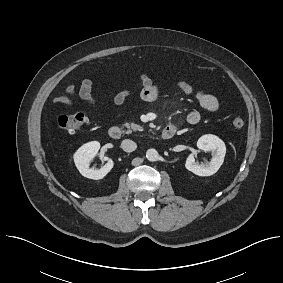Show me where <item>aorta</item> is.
I'll use <instances>...</instances> for the list:
<instances>
[{"label": "aorta", "instance_id": "obj_1", "mask_svg": "<svg viewBox=\"0 0 283 283\" xmlns=\"http://www.w3.org/2000/svg\"><path fill=\"white\" fill-rule=\"evenodd\" d=\"M146 158L151 161V162H154V161H157L158 158H159V154L157 152L156 149H148L147 152H146Z\"/></svg>", "mask_w": 283, "mask_h": 283}]
</instances>
